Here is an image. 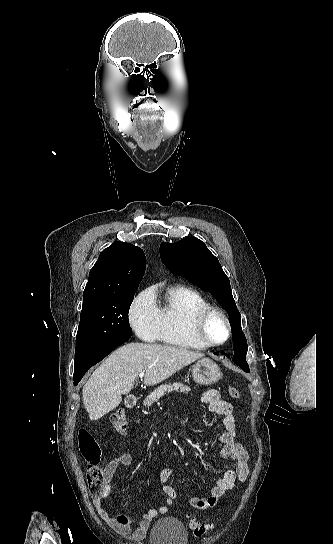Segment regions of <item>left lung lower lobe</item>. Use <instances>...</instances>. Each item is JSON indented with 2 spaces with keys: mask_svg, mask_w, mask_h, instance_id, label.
Wrapping results in <instances>:
<instances>
[{
  "mask_svg": "<svg viewBox=\"0 0 333 544\" xmlns=\"http://www.w3.org/2000/svg\"><path fill=\"white\" fill-rule=\"evenodd\" d=\"M233 338H235V335L233 334ZM216 355H218V353H215ZM245 372H249V368H242Z\"/></svg>",
  "mask_w": 333,
  "mask_h": 544,
  "instance_id": "1",
  "label": "left lung lower lobe"
}]
</instances>
